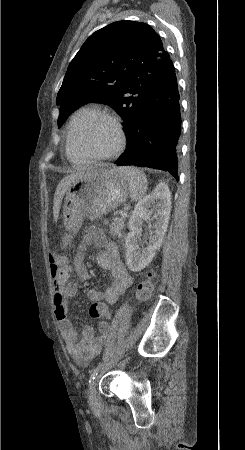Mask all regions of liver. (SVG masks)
Segmentation results:
<instances>
[{
    "mask_svg": "<svg viewBox=\"0 0 245 450\" xmlns=\"http://www.w3.org/2000/svg\"><path fill=\"white\" fill-rule=\"evenodd\" d=\"M88 173H90V171L73 173L71 175L66 176L63 180L60 181V183L57 186V189L55 191V196H54L53 216H54L55 220L58 217L62 199H63L68 187L70 186V184L77 178L85 176Z\"/></svg>",
    "mask_w": 245,
    "mask_h": 450,
    "instance_id": "6515ba94",
    "label": "liver"
}]
</instances>
